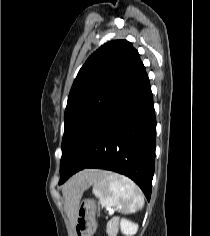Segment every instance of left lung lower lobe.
Masks as SVG:
<instances>
[{"mask_svg": "<svg viewBox=\"0 0 210 236\" xmlns=\"http://www.w3.org/2000/svg\"><path fill=\"white\" fill-rule=\"evenodd\" d=\"M155 145L153 97L144 70L85 130L60 170L59 184L85 168L107 169L130 177L149 201Z\"/></svg>", "mask_w": 210, "mask_h": 236, "instance_id": "obj_1", "label": "left lung lower lobe"}]
</instances>
